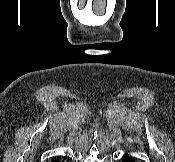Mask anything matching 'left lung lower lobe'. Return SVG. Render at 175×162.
Instances as JSON below:
<instances>
[{"label":"left lung lower lobe","instance_id":"left-lung-lower-lobe-1","mask_svg":"<svg viewBox=\"0 0 175 162\" xmlns=\"http://www.w3.org/2000/svg\"><path fill=\"white\" fill-rule=\"evenodd\" d=\"M124 162H132L131 158L128 157V155H125L123 158Z\"/></svg>","mask_w":175,"mask_h":162}]
</instances>
